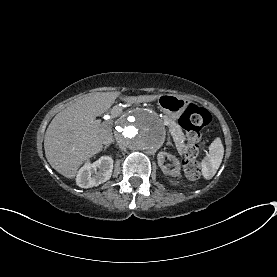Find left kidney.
Returning <instances> with one entry per match:
<instances>
[{"label":"left kidney","mask_w":277,"mask_h":277,"mask_svg":"<svg viewBox=\"0 0 277 277\" xmlns=\"http://www.w3.org/2000/svg\"><path fill=\"white\" fill-rule=\"evenodd\" d=\"M165 157L170 158V159L173 160V162L176 166L174 169L169 170L166 166L163 165ZM157 160H158V165H159V167L161 168V170L163 171L164 174L170 175V176H173V177H176V176L180 175V162L175 156H173V155H171L167 152H159L158 156H157Z\"/></svg>","instance_id":"5707ae66"}]
</instances>
